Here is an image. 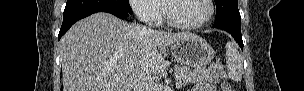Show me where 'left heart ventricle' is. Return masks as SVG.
Masks as SVG:
<instances>
[{
  "mask_svg": "<svg viewBox=\"0 0 304 91\" xmlns=\"http://www.w3.org/2000/svg\"><path fill=\"white\" fill-rule=\"evenodd\" d=\"M173 17L186 24H194L203 20L208 7L204 0H178L171 5Z\"/></svg>",
  "mask_w": 304,
  "mask_h": 91,
  "instance_id": "b2bd125f",
  "label": "left heart ventricle"
}]
</instances>
